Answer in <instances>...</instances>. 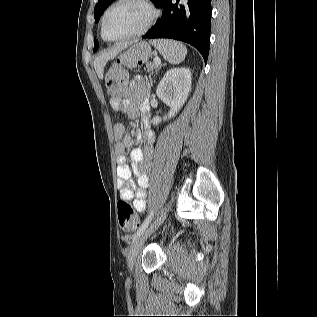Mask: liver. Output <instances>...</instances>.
<instances>
[{
	"label": "liver",
	"mask_w": 317,
	"mask_h": 317,
	"mask_svg": "<svg viewBox=\"0 0 317 317\" xmlns=\"http://www.w3.org/2000/svg\"><path fill=\"white\" fill-rule=\"evenodd\" d=\"M130 45V43H123V44H119L107 51H104L103 53H101L100 55H98L95 60H94V68L95 71L97 73V76L99 79H103V75H104V67L106 65V63L111 60L114 59L120 51H122L123 49H125L126 47H128Z\"/></svg>",
	"instance_id": "6515ba94"
}]
</instances>
